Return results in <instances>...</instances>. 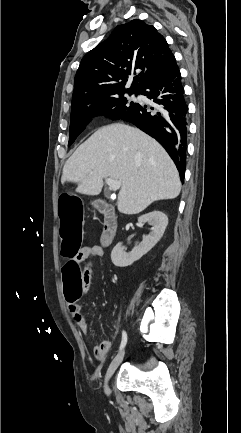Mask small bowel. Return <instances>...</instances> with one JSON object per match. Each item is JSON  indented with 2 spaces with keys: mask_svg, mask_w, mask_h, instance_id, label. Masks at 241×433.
<instances>
[{
  "mask_svg": "<svg viewBox=\"0 0 241 433\" xmlns=\"http://www.w3.org/2000/svg\"><path fill=\"white\" fill-rule=\"evenodd\" d=\"M103 249L98 245L86 246L82 248L77 257H71L75 263L79 264L83 261H88L83 276V285L86 290L89 289L93 277V260L103 256ZM67 309L72 316L77 327L84 333H89V324L82 314L81 308L78 305H67ZM112 343L110 341H102L93 349L94 357L96 360L103 361L106 359L109 351L111 350Z\"/></svg>",
  "mask_w": 241,
  "mask_h": 433,
  "instance_id": "1",
  "label": "small bowel"
}]
</instances>
